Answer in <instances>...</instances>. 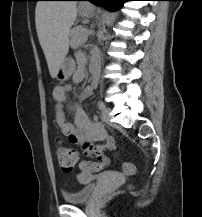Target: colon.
Segmentation results:
<instances>
[{"label": "colon", "instance_id": "obj_1", "mask_svg": "<svg viewBox=\"0 0 202 217\" xmlns=\"http://www.w3.org/2000/svg\"><path fill=\"white\" fill-rule=\"evenodd\" d=\"M56 158L60 168L63 171L70 172L78 162L79 155L75 149L59 148L56 151ZM80 166L85 171L100 172L104 169L105 164L103 162L82 161ZM122 171L127 175L135 174L137 171L136 165L132 162H125L122 164Z\"/></svg>", "mask_w": 202, "mask_h": 217}]
</instances>
